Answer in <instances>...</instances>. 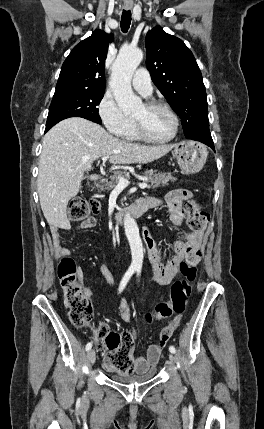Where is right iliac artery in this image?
<instances>
[{
	"label": "right iliac artery",
	"instance_id": "obj_1",
	"mask_svg": "<svg viewBox=\"0 0 264 429\" xmlns=\"http://www.w3.org/2000/svg\"><path fill=\"white\" fill-rule=\"evenodd\" d=\"M134 272H135L134 268H129L127 270V272L125 273L124 277L122 278V280L120 282L119 289H118L119 293H121L123 291L127 282L129 281V279L131 278V276L133 275ZM91 347H92V343L91 342L87 343L86 351H89L91 349Z\"/></svg>",
	"mask_w": 264,
	"mask_h": 429
}]
</instances>
